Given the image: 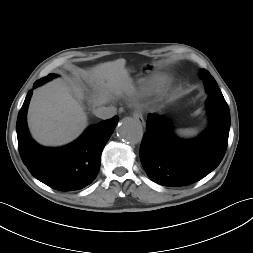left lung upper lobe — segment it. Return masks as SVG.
<instances>
[{"label": "left lung upper lobe", "mask_w": 253, "mask_h": 253, "mask_svg": "<svg viewBox=\"0 0 253 253\" xmlns=\"http://www.w3.org/2000/svg\"><path fill=\"white\" fill-rule=\"evenodd\" d=\"M200 75L202 80L204 81L205 84V88L206 91L211 94V95H215V96H219L222 97V93L215 81V79L210 75L209 72H207L206 70L202 69L200 71Z\"/></svg>", "instance_id": "left-lung-upper-lobe-1"}]
</instances>
